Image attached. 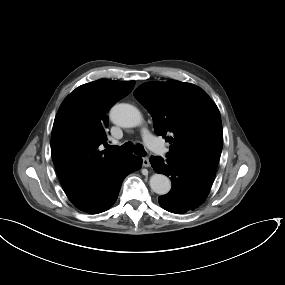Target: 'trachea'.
I'll return each instance as SVG.
<instances>
[{
    "label": "trachea",
    "mask_w": 285,
    "mask_h": 285,
    "mask_svg": "<svg viewBox=\"0 0 285 285\" xmlns=\"http://www.w3.org/2000/svg\"><path fill=\"white\" fill-rule=\"evenodd\" d=\"M108 149L118 154H131L134 151L136 155H139V156L146 155L145 149L142 145L138 144L134 146L133 143L131 142H127L120 147L119 146H108Z\"/></svg>",
    "instance_id": "3493384b"
}]
</instances>
